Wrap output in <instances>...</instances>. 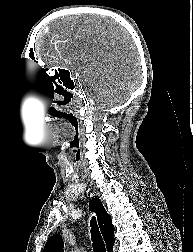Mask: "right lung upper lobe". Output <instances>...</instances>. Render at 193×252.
<instances>
[{"instance_id": "obj_1", "label": "right lung upper lobe", "mask_w": 193, "mask_h": 252, "mask_svg": "<svg viewBox=\"0 0 193 252\" xmlns=\"http://www.w3.org/2000/svg\"><path fill=\"white\" fill-rule=\"evenodd\" d=\"M90 210L95 212L98 224L107 245L108 252L113 250L114 226L111 216L106 212L104 206L98 198L90 202ZM63 240L60 235L52 236L46 243L43 252H63Z\"/></svg>"}]
</instances>
